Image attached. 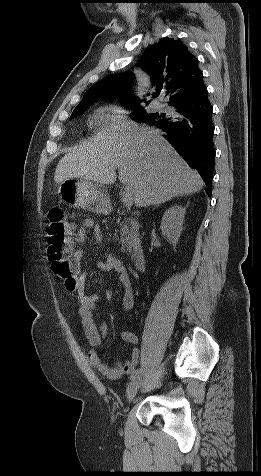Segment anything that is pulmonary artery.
<instances>
[{"label": "pulmonary artery", "instance_id": "pulmonary-artery-1", "mask_svg": "<svg viewBox=\"0 0 261 476\" xmlns=\"http://www.w3.org/2000/svg\"><path fill=\"white\" fill-rule=\"evenodd\" d=\"M159 107H160V108H163V106H162V105H160Z\"/></svg>", "mask_w": 261, "mask_h": 476}]
</instances>
